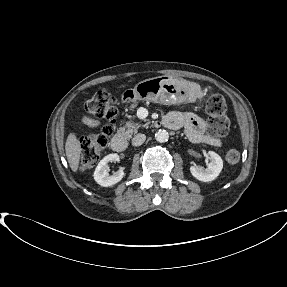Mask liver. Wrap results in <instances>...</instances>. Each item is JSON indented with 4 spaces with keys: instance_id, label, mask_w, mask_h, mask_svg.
Listing matches in <instances>:
<instances>
[{
    "instance_id": "1",
    "label": "liver",
    "mask_w": 287,
    "mask_h": 287,
    "mask_svg": "<svg viewBox=\"0 0 287 287\" xmlns=\"http://www.w3.org/2000/svg\"><path fill=\"white\" fill-rule=\"evenodd\" d=\"M65 151L70 168L76 172L79 167L81 146L75 133H70L65 144Z\"/></svg>"
}]
</instances>
